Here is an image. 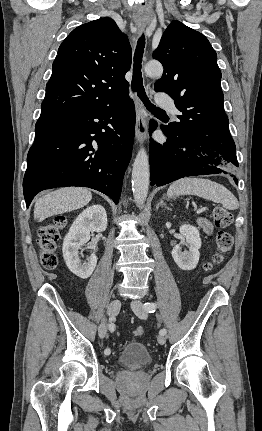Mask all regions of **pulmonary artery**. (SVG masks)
Returning <instances> with one entry per match:
<instances>
[{"mask_svg":"<svg viewBox=\"0 0 262 431\" xmlns=\"http://www.w3.org/2000/svg\"><path fill=\"white\" fill-rule=\"evenodd\" d=\"M156 103L160 107L166 108L171 111L174 110V104L171 98L162 93H158Z\"/></svg>","mask_w":262,"mask_h":431,"instance_id":"pulmonary-artery-1","label":"pulmonary artery"}]
</instances>
